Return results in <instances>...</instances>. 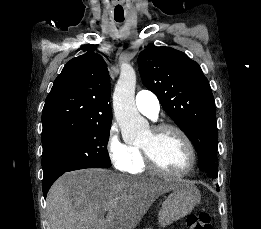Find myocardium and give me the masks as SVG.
Listing matches in <instances>:
<instances>
[{
    "label": "myocardium",
    "instance_id": "f54148a6",
    "mask_svg": "<svg viewBox=\"0 0 261 229\" xmlns=\"http://www.w3.org/2000/svg\"><path fill=\"white\" fill-rule=\"evenodd\" d=\"M166 131H173L181 136L184 143L186 144L189 154H190V162L188 166L182 170L177 172L168 171L165 168H163L156 160L152 148L150 145H140V149L142 151L144 160L146 162L147 168L151 170L152 172H155L157 174H160L162 176H168V177H182L187 174H189L195 167L196 164V151L195 147L189 138V136L179 127L171 124H161L158 126H155L151 128L150 135L151 139L155 140L158 138L162 133Z\"/></svg>",
    "mask_w": 261,
    "mask_h": 229
}]
</instances>
